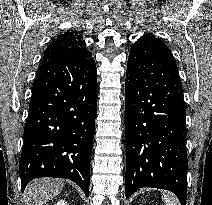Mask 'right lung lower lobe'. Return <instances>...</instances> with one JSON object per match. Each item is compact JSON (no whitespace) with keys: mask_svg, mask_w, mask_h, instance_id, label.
<instances>
[{"mask_svg":"<svg viewBox=\"0 0 212 205\" xmlns=\"http://www.w3.org/2000/svg\"><path fill=\"white\" fill-rule=\"evenodd\" d=\"M97 112L92 57L44 61L37 70L19 163L22 191L40 177L66 178L89 194Z\"/></svg>","mask_w":212,"mask_h":205,"instance_id":"1","label":"right lung lower lobe"}]
</instances>
